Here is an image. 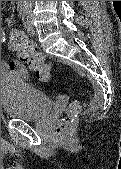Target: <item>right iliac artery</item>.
<instances>
[{"mask_svg": "<svg viewBox=\"0 0 121 169\" xmlns=\"http://www.w3.org/2000/svg\"><path fill=\"white\" fill-rule=\"evenodd\" d=\"M18 11L21 14L24 11V7L22 5L18 6Z\"/></svg>", "mask_w": 121, "mask_h": 169, "instance_id": "1", "label": "right iliac artery"}]
</instances>
